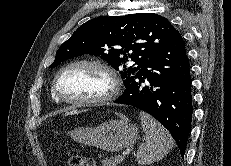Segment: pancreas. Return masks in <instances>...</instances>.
Returning <instances> with one entry per match:
<instances>
[{
    "mask_svg": "<svg viewBox=\"0 0 231 166\" xmlns=\"http://www.w3.org/2000/svg\"><path fill=\"white\" fill-rule=\"evenodd\" d=\"M123 161V158H120L119 156H116L115 159L113 158H105V160L102 161V166H118Z\"/></svg>",
    "mask_w": 231,
    "mask_h": 166,
    "instance_id": "cf45deb5",
    "label": "pancreas"
}]
</instances>
